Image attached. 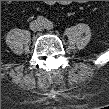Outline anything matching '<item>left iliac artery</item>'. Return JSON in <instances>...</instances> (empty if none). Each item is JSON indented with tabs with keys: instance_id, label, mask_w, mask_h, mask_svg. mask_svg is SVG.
<instances>
[{
	"instance_id": "44dca946",
	"label": "left iliac artery",
	"mask_w": 109,
	"mask_h": 109,
	"mask_svg": "<svg viewBox=\"0 0 109 109\" xmlns=\"http://www.w3.org/2000/svg\"><path fill=\"white\" fill-rule=\"evenodd\" d=\"M46 26H47V28H50V27H52V23L51 22H47Z\"/></svg>"
}]
</instances>
